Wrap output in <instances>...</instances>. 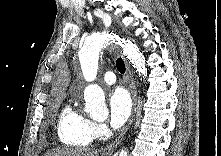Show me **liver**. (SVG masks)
<instances>
[{
    "label": "liver",
    "instance_id": "6515ba94",
    "mask_svg": "<svg viewBox=\"0 0 221 156\" xmlns=\"http://www.w3.org/2000/svg\"><path fill=\"white\" fill-rule=\"evenodd\" d=\"M44 156H98L95 149L57 148L47 151Z\"/></svg>",
    "mask_w": 221,
    "mask_h": 156
}]
</instances>
